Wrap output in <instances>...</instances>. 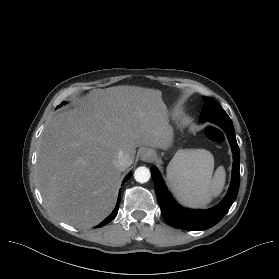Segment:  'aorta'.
Masks as SVG:
<instances>
[{
	"label": "aorta",
	"instance_id": "aorta-1",
	"mask_svg": "<svg viewBox=\"0 0 279 279\" xmlns=\"http://www.w3.org/2000/svg\"><path fill=\"white\" fill-rule=\"evenodd\" d=\"M151 177L150 170L147 167L140 166L134 172V178L139 183H145L149 181Z\"/></svg>",
	"mask_w": 279,
	"mask_h": 279
}]
</instances>
